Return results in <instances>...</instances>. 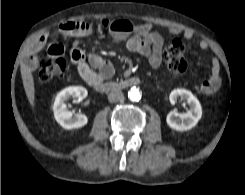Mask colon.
<instances>
[{
	"label": "colon",
	"instance_id": "5ec220e1",
	"mask_svg": "<svg viewBox=\"0 0 245 195\" xmlns=\"http://www.w3.org/2000/svg\"><path fill=\"white\" fill-rule=\"evenodd\" d=\"M184 44L181 40H173L164 51L168 71L173 75H182L187 69L184 57ZM67 63L61 56L43 58L40 62L39 77L44 82H51L64 77Z\"/></svg>",
	"mask_w": 245,
	"mask_h": 195
}]
</instances>
